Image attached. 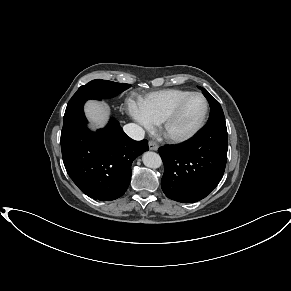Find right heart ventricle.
<instances>
[{"mask_svg": "<svg viewBox=\"0 0 291 291\" xmlns=\"http://www.w3.org/2000/svg\"><path fill=\"white\" fill-rule=\"evenodd\" d=\"M190 93L183 89H164L142 98L138 105L152 124H159Z\"/></svg>", "mask_w": 291, "mask_h": 291, "instance_id": "right-heart-ventricle-1", "label": "right heart ventricle"}]
</instances>
